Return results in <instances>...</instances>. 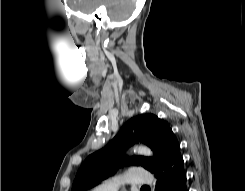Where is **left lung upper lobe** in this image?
<instances>
[{"label":"left lung upper lobe","instance_id":"1","mask_svg":"<svg viewBox=\"0 0 245 191\" xmlns=\"http://www.w3.org/2000/svg\"><path fill=\"white\" fill-rule=\"evenodd\" d=\"M138 142L148 145L155 156L124 157L126 149ZM178 148V140L166 121L154 114L133 117L108 145L86 158L77 172L71 191L95 186L122 165L142 166L154 174L170 161Z\"/></svg>","mask_w":245,"mask_h":191}]
</instances>
